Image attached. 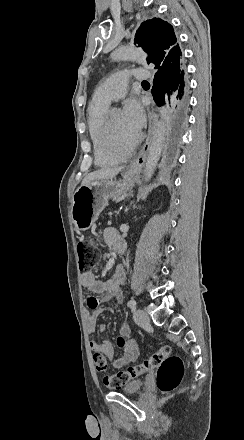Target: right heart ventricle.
<instances>
[{
	"label": "right heart ventricle",
	"instance_id": "obj_1",
	"mask_svg": "<svg viewBox=\"0 0 244 440\" xmlns=\"http://www.w3.org/2000/svg\"><path fill=\"white\" fill-rule=\"evenodd\" d=\"M109 106L110 104L93 102V100L88 106V125L90 138L95 148V162L96 165L101 168H112L118 165L123 159V156L117 150V146H111L109 143L112 149L108 151L106 149L107 147L101 145L104 142L100 139L102 137L100 134L104 132L101 126L103 125L104 115ZM128 132L131 134L129 130Z\"/></svg>",
	"mask_w": 244,
	"mask_h": 440
}]
</instances>
